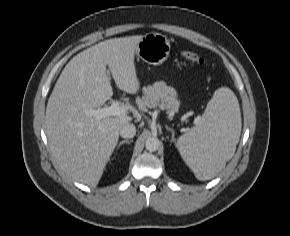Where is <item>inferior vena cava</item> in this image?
<instances>
[{
	"label": "inferior vena cava",
	"mask_w": 290,
	"mask_h": 236,
	"mask_svg": "<svg viewBox=\"0 0 290 236\" xmlns=\"http://www.w3.org/2000/svg\"><path fill=\"white\" fill-rule=\"evenodd\" d=\"M119 133L123 138H132L136 134V127L131 123H126L121 126Z\"/></svg>",
	"instance_id": "obj_1"
}]
</instances>
